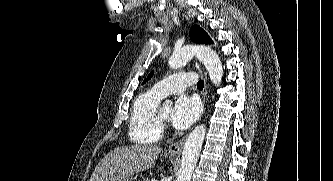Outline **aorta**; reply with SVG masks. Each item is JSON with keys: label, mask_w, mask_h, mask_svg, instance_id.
I'll return each instance as SVG.
<instances>
[{"label": "aorta", "mask_w": 333, "mask_h": 181, "mask_svg": "<svg viewBox=\"0 0 333 181\" xmlns=\"http://www.w3.org/2000/svg\"><path fill=\"white\" fill-rule=\"evenodd\" d=\"M193 56H196L198 60L204 64L210 80L215 86H218L223 77V66L217 53L210 47L202 45L184 46L174 52L169 58L168 64L170 68L177 69L185 65ZM171 104L172 102L170 100L165 101L166 106H170ZM205 133L206 126L201 124L195 127L187 137L176 181L191 180L205 138Z\"/></svg>", "instance_id": "1"}]
</instances>
